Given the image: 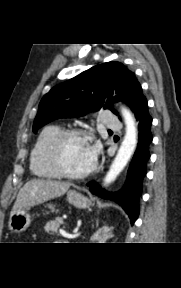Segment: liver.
<instances>
[{
    "instance_id": "liver-1",
    "label": "liver",
    "mask_w": 181,
    "mask_h": 288,
    "mask_svg": "<svg viewBox=\"0 0 181 288\" xmlns=\"http://www.w3.org/2000/svg\"><path fill=\"white\" fill-rule=\"evenodd\" d=\"M70 186L71 184L66 182L31 179L20 189L10 215L55 197H60L67 192Z\"/></svg>"
}]
</instances>
